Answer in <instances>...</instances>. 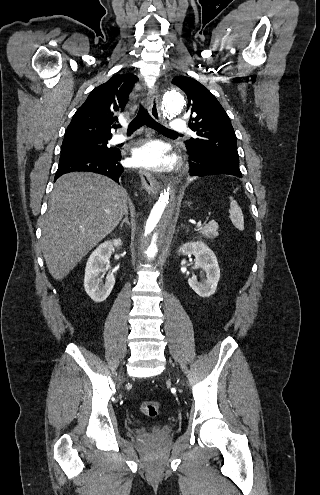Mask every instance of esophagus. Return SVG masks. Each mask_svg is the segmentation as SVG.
Masks as SVG:
<instances>
[{"label": "esophagus", "mask_w": 320, "mask_h": 495, "mask_svg": "<svg viewBox=\"0 0 320 495\" xmlns=\"http://www.w3.org/2000/svg\"><path fill=\"white\" fill-rule=\"evenodd\" d=\"M149 104V113L154 119H158L160 116L159 112V102H158V91L156 88L150 93L148 98ZM152 134V131L149 132V135ZM140 179L143 188L150 194H156L160 189V184L157 180L152 176L149 172L145 170L139 171Z\"/></svg>", "instance_id": "obj_1"}]
</instances>
